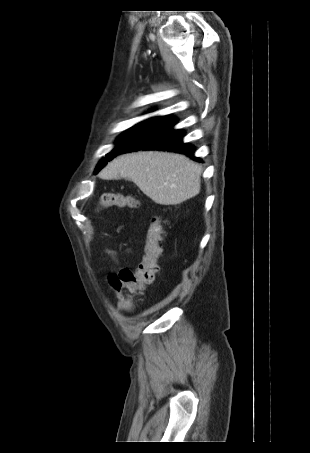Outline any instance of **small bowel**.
<instances>
[{"label":"small bowel","mask_w":310,"mask_h":453,"mask_svg":"<svg viewBox=\"0 0 310 453\" xmlns=\"http://www.w3.org/2000/svg\"><path fill=\"white\" fill-rule=\"evenodd\" d=\"M105 251H106V253H107L108 255H110L111 257H116V252L113 251L112 249H106Z\"/></svg>","instance_id":"c3829d8e"}]
</instances>
